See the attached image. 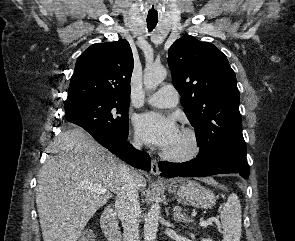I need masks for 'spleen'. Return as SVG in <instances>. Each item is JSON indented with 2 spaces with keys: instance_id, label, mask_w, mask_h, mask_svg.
Here are the masks:
<instances>
[{
  "instance_id": "spleen-1",
  "label": "spleen",
  "mask_w": 295,
  "mask_h": 241,
  "mask_svg": "<svg viewBox=\"0 0 295 241\" xmlns=\"http://www.w3.org/2000/svg\"><path fill=\"white\" fill-rule=\"evenodd\" d=\"M205 182L217 185L212 179H205ZM221 189H227L220 185ZM223 232L222 241H240L241 238V204L238 196L234 193L230 194L227 202L224 204L220 214Z\"/></svg>"
}]
</instances>
